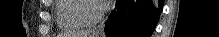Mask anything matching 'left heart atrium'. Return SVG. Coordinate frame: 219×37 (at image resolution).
<instances>
[{
    "mask_svg": "<svg viewBox=\"0 0 219 37\" xmlns=\"http://www.w3.org/2000/svg\"><path fill=\"white\" fill-rule=\"evenodd\" d=\"M99 7L106 6L108 4L107 0H98L97 1Z\"/></svg>",
    "mask_w": 219,
    "mask_h": 37,
    "instance_id": "1",
    "label": "left heart atrium"
}]
</instances>
